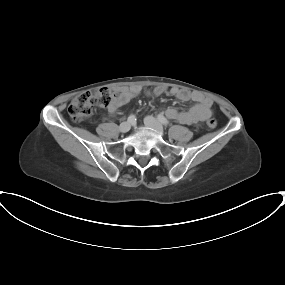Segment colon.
<instances>
[{
    "instance_id": "colon-1",
    "label": "colon",
    "mask_w": 285,
    "mask_h": 285,
    "mask_svg": "<svg viewBox=\"0 0 285 285\" xmlns=\"http://www.w3.org/2000/svg\"><path fill=\"white\" fill-rule=\"evenodd\" d=\"M117 96V92L109 89H100L95 92L87 91L76 96L68 108L70 118L75 122H81L88 118L96 108L109 106L111 101ZM207 126L211 129L216 128L217 120L210 118Z\"/></svg>"
}]
</instances>
